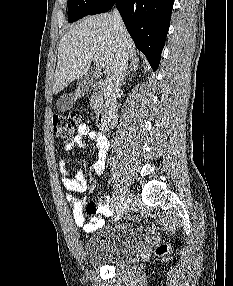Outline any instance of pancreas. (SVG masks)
Wrapping results in <instances>:
<instances>
[{
    "label": "pancreas",
    "mask_w": 233,
    "mask_h": 286,
    "mask_svg": "<svg viewBox=\"0 0 233 286\" xmlns=\"http://www.w3.org/2000/svg\"><path fill=\"white\" fill-rule=\"evenodd\" d=\"M90 105H91L92 109H94V110H96L98 108V104L95 102L94 98L91 99Z\"/></svg>",
    "instance_id": "cf45deb5"
}]
</instances>
